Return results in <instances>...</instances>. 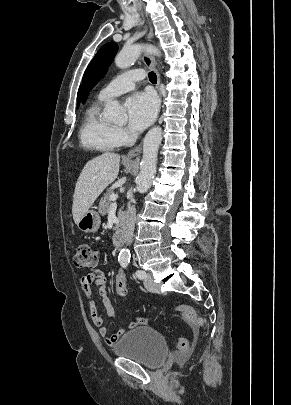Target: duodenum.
Wrapping results in <instances>:
<instances>
[{
    "mask_svg": "<svg viewBox=\"0 0 291 405\" xmlns=\"http://www.w3.org/2000/svg\"><path fill=\"white\" fill-rule=\"evenodd\" d=\"M122 240H123V230L122 229H118L113 237V246L116 249H119L121 247L122 244Z\"/></svg>",
    "mask_w": 291,
    "mask_h": 405,
    "instance_id": "410a0bca",
    "label": "duodenum"
}]
</instances>
